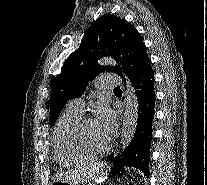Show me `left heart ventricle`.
Returning <instances> with one entry per match:
<instances>
[{"label": "left heart ventricle", "mask_w": 207, "mask_h": 185, "mask_svg": "<svg viewBox=\"0 0 207 185\" xmlns=\"http://www.w3.org/2000/svg\"><path fill=\"white\" fill-rule=\"evenodd\" d=\"M84 136L88 143L96 150L105 148L111 138L101 131L93 120H90L85 124Z\"/></svg>", "instance_id": "obj_1"}]
</instances>
